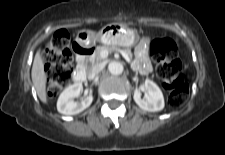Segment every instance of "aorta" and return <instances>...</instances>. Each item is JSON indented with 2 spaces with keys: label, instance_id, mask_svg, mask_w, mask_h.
Listing matches in <instances>:
<instances>
[{
  "label": "aorta",
  "instance_id": "obj_1",
  "mask_svg": "<svg viewBox=\"0 0 225 155\" xmlns=\"http://www.w3.org/2000/svg\"><path fill=\"white\" fill-rule=\"evenodd\" d=\"M108 70L113 75H120L122 74L124 68L120 62L112 61L108 65Z\"/></svg>",
  "mask_w": 225,
  "mask_h": 155
}]
</instances>
